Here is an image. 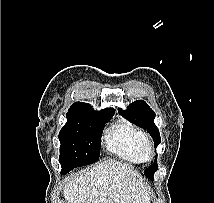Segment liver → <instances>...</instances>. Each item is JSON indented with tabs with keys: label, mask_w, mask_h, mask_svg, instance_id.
<instances>
[{
	"label": "liver",
	"mask_w": 214,
	"mask_h": 203,
	"mask_svg": "<svg viewBox=\"0 0 214 203\" xmlns=\"http://www.w3.org/2000/svg\"><path fill=\"white\" fill-rule=\"evenodd\" d=\"M67 203H150L141 175L131 166L110 160L81 171L67 181Z\"/></svg>",
	"instance_id": "1"
}]
</instances>
